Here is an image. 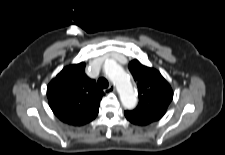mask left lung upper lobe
<instances>
[{
	"instance_id": "5c2ea615",
	"label": "left lung upper lobe",
	"mask_w": 225,
	"mask_h": 155,
	"mask_svg": "<svg viewBox=\"0 0 225 155\" xmlns=\"http://www.w3.org/2000/svg\"><path fill=\"white\" fill-rule=\"evenodd\" d=\"M129 70L138 87L139 104L125 117L135 125H148L160 120L173 99L169 83L154 68L142 65L138 60L129 63Z\"/></svg>"
}]
</instances>
